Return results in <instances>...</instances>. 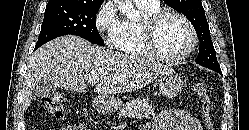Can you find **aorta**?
<instances>
[{
    "label": "aorta",
    "mask_w": 249,
    "mask_h": 130,
    "mask_svg": "<svg viewBox=\"0 0 249 130\" xmlns=\"http://www.w3.org/2000/svg\"><path fill=\"white\" fill-rule=\"evenodd\" d=\"M118 9L122 14H125L129 19H134L138 16V12L134 9L131 2H124L120 0H115Z\"/></svg>",
    "instance_id": "1"
}]
</instances>
